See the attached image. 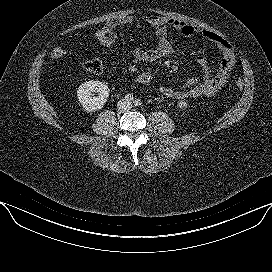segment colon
<instances>
[{
  "instance_id": "1",
  "label": "colon",
  "mask_w": 272,
  "mask_h": 272,
  "mask_svg": "<svg viewBox=\"0 0 272 272\" xmlns=\"http://www.w3.org/2000/svg\"><path fill=\"white\" fill-rule=\"evenodd\" d=\"M94 40L104 47H116L118 45V39L115 34H112L104 29H100L94 33ZM66 54V51L62 47H55L51 51V57L55 60L61 59ZM102 63L99 60H89L82 64V69L90 74H99L102 71ZM158 74L156 71H143L136 74L133 77V82L136 84L147 85L157 80ZM237 88L242 89L244 82L238 78L235 80Z\"/></svg>"
}]
</instances>
